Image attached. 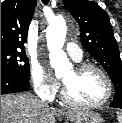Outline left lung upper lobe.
I'll return each mask as SVG.
<instances>
[{
    "label": "left lung upper lobe",
    "mask_w": 122,
    "mask_h": 123,
    "mask_svg": "<svg viewBox=\"0 0 122 123\" xmlns=\"http://www.w3.org/2000/svg\"><path fill=\"white\" fill-rule=\"evenodd\" d=\"M63 3L80 26L83 47L113 81L114 99H122V62L108 14L89 0H63Z\"/></svg>",
    "instance_id": "1"
}]
</instances>
